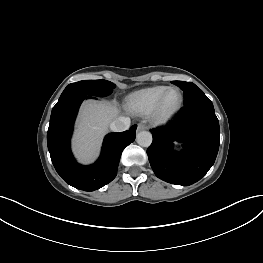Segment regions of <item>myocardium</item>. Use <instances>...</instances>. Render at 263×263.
<instances>
[{
	"mask_svg": "<svg viewBox=\"0 0 263 263\" xmlns=\"http://www.w3.org/2000/svg\"><path fill=\"white\" fill-rule=\"evenodd\" d=\"M178 92L180 99L179 103L172 109H165V101L167 96L172 92ZM184 103V95L182 91L177 87H169L160 97L153 111L151 112V119L155 124H164L170 121L181 110Z\"/></svg>",
	"mask_w": 263,
	"mask_h": 263,
	"instance_id": "f54148a6",
	"label": "myocardium"
}]
</instances>
